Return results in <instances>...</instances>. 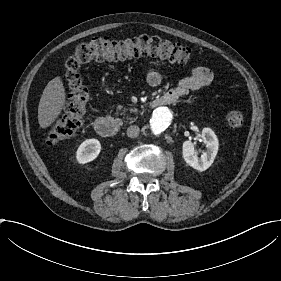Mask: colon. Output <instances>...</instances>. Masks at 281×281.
<instances>
[{
  "label": "colon",
  "mask_w": 281,
  "mask_h": 281,
  "mask_svg": "<svg viewBox=\"0 0 281 281\" xmlns=\"http://www.w3.org/2000/svg\"><path fill=\"white\" fill-rule=\"evenodd\" d=\"M154 55L161 58L197 65L199 58L179 44L155 37H132L119 40H94L81 45L65 62L64 77L68 96L43 136L45 146L72 137L84 123L88 104V90L79 75V69L88 63L125 56ZM225 121L233 127L244 123L243 114L234 109L225 112Z\"/></svg>",
  "instance_id": "colon-1"
}]
</instances>
